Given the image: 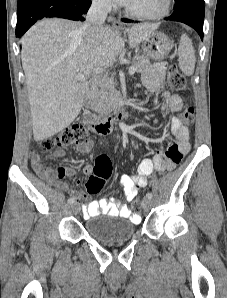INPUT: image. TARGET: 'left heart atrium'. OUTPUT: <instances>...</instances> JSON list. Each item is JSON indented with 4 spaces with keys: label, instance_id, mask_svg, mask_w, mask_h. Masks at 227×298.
Returning <instances> with one entry per match:
<instances>
[{
    "label": "left heart atrium",
    "instance_id": "39dd6f15",
    "mask_svg": "<svg viewBox=\"0 0 227 298\" xmlns=\"http://www.w3.org/2000/svg\"><path fill=\"white\" fill-rule=\"evenodd\" d=\"M114 1L125 6H128L131 2V0H114Z\"/></svg>",
    "mask_w": 227,
    "mask_h": 298
}]
</instances>
